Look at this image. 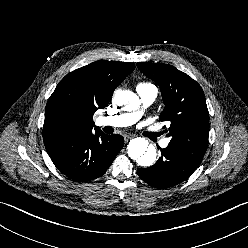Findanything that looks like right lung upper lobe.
<instances>
[{"instance_id":"1","label":"right lung upper lobe","mask_w":248,"mask_h":248,"mask_svg":"<svg viewBox=\"0 0 248 248\" xmlns=\"http://www.w3.org/2000/svg\"><path fill=\"white\" fill-rule=\"evenodd\" d=\"M134 68L133 63L96 61L67 74L46 105L43 127L45 147L92 132L94 113L108 105L115 88Z\"/></svg>"}]
</instances>
